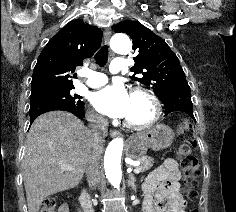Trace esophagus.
<instances>
[{
  "label": "esophagus",
  "mask_w": 236,
  "mask_h": 212,
  "mask_svg": "<svg viewBox=\"0 0 236 212\" xmlns=\"http://www.w3.org/2000/svg\"><path fill=\"white\" fill-rule=\"evenodd\" d=\"M110 37H111V28H106L104 31V42L106 45H109ZM119 135H120V132L118 130H116V129L110 130L111 137H116Z\"/></svg>",
  "instance_id": "obj_1"
}]
</instances>
